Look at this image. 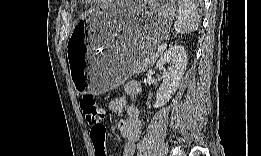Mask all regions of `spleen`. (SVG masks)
I'll use <instances>...</instances> for the list:
<instances>
[{"instance_id": "1", "label": "spleen", "mask_w": 261, "mask_h": 156, "mask_svg": "<svg viewBox=\"0 0 261 156\" xmlns=\"http://www.w3.org/2000/svg\"><path fill=\"white\" fill-rule=\"evenodd\" d=\"M175 10L178 12L174 28L177 33H191L197 30L199 15L196 5L190 0H180Z\"/></svg>"}]
</instances>
